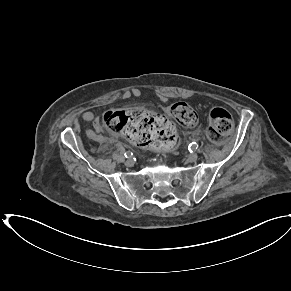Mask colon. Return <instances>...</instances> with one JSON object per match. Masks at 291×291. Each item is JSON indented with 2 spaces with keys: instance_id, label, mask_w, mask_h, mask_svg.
I'll return each mask as SVG.
<instances>
[{
  "instance_id": "obj_1",
  "label": "colon",
  "mask_w": 291,
  "mask_h": 291,
  "mask_svg": "<svg viewBox=\"0 0 291 291\" xmlns=\"http://www.w3.org/2000/svg\"><path fill=\"white\" fill-rule=\"evenodd\" d=\"M169 113L182 126L197 124L196 111L185 102L172 104ZM208 120V137L214 143H221L233 130L231 114L221 107L211 108ZM102 122L110 132L122 135L140 147L162 150L176 142L173 123L148 110L108 111L103 115Z\"/></svg>"
}]
</instances>
